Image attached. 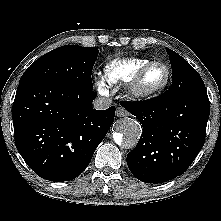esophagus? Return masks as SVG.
I'll list each match as a JSON object with an SVG mask.
<instances>
[{"instance_id": "1", "label": "esophagus", "mask_w": 221, "mask_h": 221, "mask_svg": "<svg viewBox=\"0 0 221 221\" xmlns=\"http://www.w3.org/2000/svg\"><path fill=\"white\" fill-rule=\"evenodd\" d=\"M116 116L117 117L129 116V112L126 109H124L123 107H118L116 109Z\"/></svg>"}]
</instances>
